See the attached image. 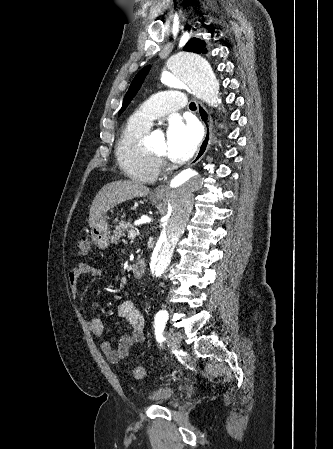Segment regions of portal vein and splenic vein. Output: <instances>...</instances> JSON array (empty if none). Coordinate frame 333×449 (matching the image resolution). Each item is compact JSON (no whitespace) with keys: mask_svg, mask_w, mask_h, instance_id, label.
<instances>
[{"mask_svg":"<svg viewBox=\"0 0 333 449\" xmlns=\"http://www.w3.org/2000/svg\"><path fill=\"white\" fill-rule=\"evenodd\" d=\"M128 237L131 238V239H134L136 237V232L133 231V230L129 231Z\"/></svg>","mask_w":333,"mask_h":449,"instance_id":"18ae733b","label":"portal vein and splenic vein"}]
</instances>
